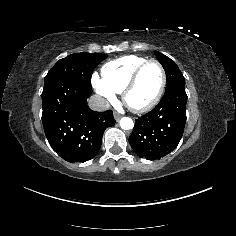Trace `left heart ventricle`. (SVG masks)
Listing matches in <instances>:
<instances>
[{
    "instance_id": "1",
    "label": "left heart ventricle",
    "mask_w": 236,
    "mask_h": 236,
    "mask_svg": "<svg viewBox=\"0 0 236 236\" xmlns=\"http://www.w3.org/2000/svg\"><path fill=\"white\" fill-rule=\"evenodd\" d=\"M161 83V71L156 64L147 65L128 95V101L133 106H143L156 95Z\"/></svg>"
}]
</instances>
